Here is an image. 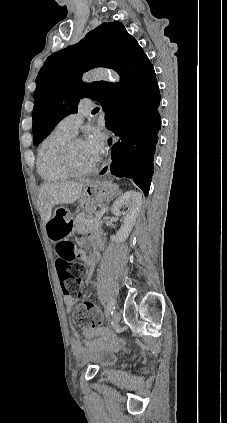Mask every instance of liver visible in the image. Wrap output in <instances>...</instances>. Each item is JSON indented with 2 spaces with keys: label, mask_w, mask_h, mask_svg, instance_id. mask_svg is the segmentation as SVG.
<instances>
[{
  "label": "liver",
  "mask_w": 227,
  "mask_h": 423,
  "mask_svg": "<svg viewBox=\"0 0 227 423\" xmlns=\"http://www.w3.org/2000/svg\"><path fill=\"white\" fill-rule=\"evenodd\" d=\"M86 182H54V184H42L39 188L38 204L41 217L49 221L52 208L58 204H75L82 196V190Z\"/></svg>",
  "instance_id": "1"
}]
</instances>
